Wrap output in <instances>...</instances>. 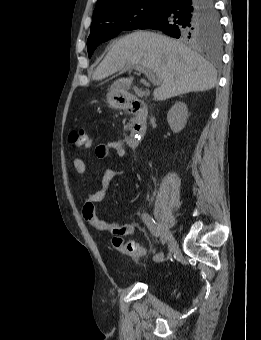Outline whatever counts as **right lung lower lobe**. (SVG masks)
I'll list each match as a JSON object with an SVG mask.
<instances>
[{
	"mask_svg": "<svg viewBox=\"0 0 261 340\" xmlns=\"http://www.w3.org/2000/svg\"><path fill=\"white\" fill-rule=\"evenodd\" d=\"M215 12L214 0H163L157 14L139 29L160 30L178 38L179 31L190 16Z\"/></svg>",
	"mask_w": 261,
	"mask_h": 340,
	"instance_id": "obj_1",
	"label": "right lung lower lobe"
}]
</instances>
